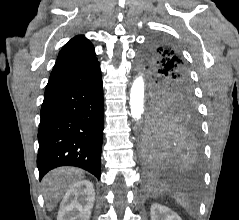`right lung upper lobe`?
Listing matches in <instances>:
<instances>
[{"label":"right lung upper lobe","mask_w":239,"mask_h":220,"mask_svg":"<svg viewBox=\"0 0 239 220\" xmlns=\"http://www.w3.org/2000/svg\"><path fill=\"white\" fill-rule=\"evenodd\" d=\"M97 60L92 43L83 35L72 38L60 51L50 78L60 77Z\"/></svg>","instance_id":"1"}]
</instances>
